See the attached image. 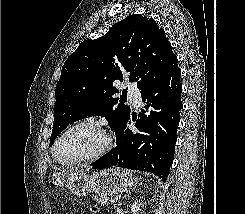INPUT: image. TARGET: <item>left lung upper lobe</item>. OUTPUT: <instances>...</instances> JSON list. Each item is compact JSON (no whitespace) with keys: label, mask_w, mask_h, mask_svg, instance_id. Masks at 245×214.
<instances>
[{"label":"left lung upper lobe","mask_w":245,"mask_h":214,"mask_svg":"<svg viewBox=\"0 0 245 214\" xmlns=\"http://www.w3.org/2000/svg\"><path fill=\"white\" fill-rule=\"evenodd\" d=\"M177 64V56L164 30L152 18L130 15L102 37L85 40L62 67L56 85L54 124L56 137L69 124L87 116H104L116 137L130 117V108L114 97L115 80L128 75L141 93L158 83Z\"/></svg>","instance_id":"1"}]
</instances>
